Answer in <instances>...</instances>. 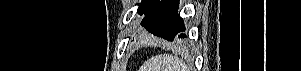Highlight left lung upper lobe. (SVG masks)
Instances as JSON below:
<instances>
[{
    "label": "left lung upper lobe",
    "instance_id": "1",
    "mask_svg": "<svg viewBox=\"0 0 301 71\" xmlns=\"http://www.w3.org/2000/svg\"><path fill=\"white\" fill-rule=\"evenodd\" d=\"M160 0H143L138 8V12L141 15H145L149 12L155 5L159 3Z\"/></svg>",
    "mask_w": 301,
    "mask_h": 71
}]
</instances>
